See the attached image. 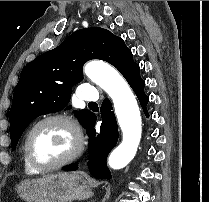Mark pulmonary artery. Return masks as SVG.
<instances>
[{
    "mask_svg": "<svg viewBox=\"0 0 209 202\" xmlns=\"http://www.w3.org/2000/svg\"><path fill=\"white\" fill-rule=\"evenodd\" d=\"M80 98L87 102H97L99 100V93L96 89L83 86L81 89Z\"/></svg>",
    "mask_w": 209,
    "mask_h": 202,
    "instance_id": "e3ab8cb5",
    "label": "pulmonary artery"
}]
</instances>
